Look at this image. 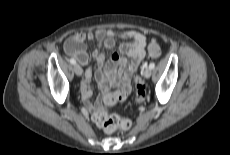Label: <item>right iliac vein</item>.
Instances as JSON below:
<instances>
[{
	"label": "right iliac vein",
	"instance_id": "63e3f726",
	"mask_svg": "<svg viewBox=\"0 0 230 155\" xmlns=\"http://www.w3.org/2000/svg\"><path fill=\"white\" fill-rule=\"evenodd\" d=\"M74 72L77 76H81L82 75V68L80 67V65L78 64H74L73 66Z\"/></svg>",
	"mask_w": 230,
	"mask_h": 155
}]
</instances>
